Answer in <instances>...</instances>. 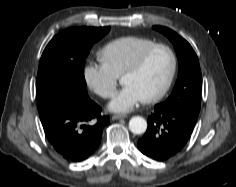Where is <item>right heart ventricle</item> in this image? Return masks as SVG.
I'll return each instance as SVG.
<instances>
[{
  "label": "right heart ventricle",
  "mask_w": 236,
  "mask_h": 187,
  "mask_svg": "<svg viewBox=\"0 0 236 187\" xmlns=\"http://www.w3.org/2000/svg\"><path fill=\"white\" fill-rule=\"evenodd\" d=\"M153 44V40L145 37H119L100 49L98 59L116 77L121 76L137 55Z\"/></svg>",
  "instance_id": "1"
}]
</instances>
